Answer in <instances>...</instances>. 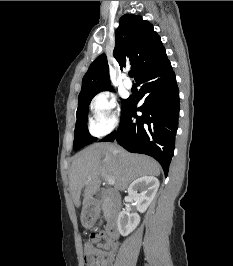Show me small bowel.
Instances as JSON below:
<instances>
[{"mask_svg":"<svg viewBox=\"0 0 233 266\" xmlns=\"http://www.w3.org/2000/svg\"><path fill=\"white\" fill-rule=\"evenodd\" d=\"M117 252V244L105 237L97 246L86 243L84 246L87 266H113Z\"/></svg>","mask_w":233,"mask_h":266,"instance_id":"small-bowel-1","label":"small bowel"}]
</instances>
